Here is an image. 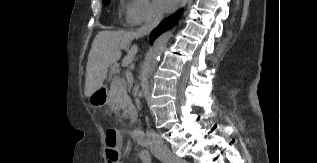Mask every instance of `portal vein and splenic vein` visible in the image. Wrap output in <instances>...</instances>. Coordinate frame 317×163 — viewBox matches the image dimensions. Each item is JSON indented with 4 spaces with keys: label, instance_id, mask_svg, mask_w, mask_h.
<instances>
[{
    "label": "portal vein and splenic vein",
    "instance_id": "18ae733b",
    "mask_svg": "<svg viewBox=\"0 0 317 163\" xmlns=\"http://www.w3.org/2000/svg\"><path fill=\"white\" fill-rule=\"evenodd\" d=\"M112 82H113L114 84H119V83H121L120 79H118V78L113 79Z\"/></svg>",
    "mask_w": 317,
    "mask_h": 163
}]
</instances>
